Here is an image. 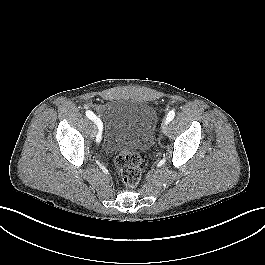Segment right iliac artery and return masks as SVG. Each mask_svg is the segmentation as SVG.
<instances>
[{
	"mask_svg": "<svg viewBox=\"0 0 265 265\" xmlns=\"http://www.w3.org/2000/svg\"><path fill=\"white\" fill-rule=\"evenodd\" d=\"M86 116L90 120L94 121L95 124L97 125V127L99 129V133L96 136V141L97 142H100V140H101V130H102V122H101V120L99 118H97L96 115L92 111H90V110H87L86 111Z\"/></svg>",
	"mask_w": 265,
	"mask_h": 265,
	"instance_id": "82829eb1",
	"label": "right iliac artery"
}]
</instances>
